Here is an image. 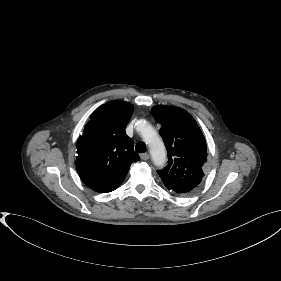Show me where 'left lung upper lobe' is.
<instances>
[{
	"mask_svg": "<svg viewBox=\"0 0 281 281\" xmlns=\"http://www.w3.org/2000/svg\"><path fill=\"white\" fill-rule=\"evenodd\" d=\"M152 115L161 125L168 165L158 171L165 187L179 195L194 193L207 171V146L195 119L186 110L174 106H154Z\"/></svg>",
	"mask_w": 281,
	"mask_h": 281,
	"instance_id": "obj_1",
	"label": "left lung upper lobe"
}]
</instances>
